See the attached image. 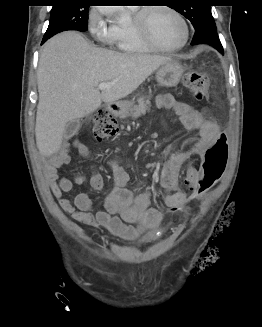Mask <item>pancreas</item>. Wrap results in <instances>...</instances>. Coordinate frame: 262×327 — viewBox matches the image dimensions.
Returning a JSON list of instances; mask_svg holds the SVG:
<instances>
[{
    "label": "pancreas",
    "instance_id": "1",
    "mask_svg": "<svg viewBox=\"0 0 262 327\" xmlns=\"http://www.w3.org/2000/svg\"><path fill=\"white\" fill-rule=\"evenodd\" d=\"M150 101L145 100L144 97L138 99V105H135L131 110V114L133 118H138L141 115L145 114L147 110H149Z\"/></svg>",
    "mask_w": 262,
    "mask_h": 327
}]
</instances>
